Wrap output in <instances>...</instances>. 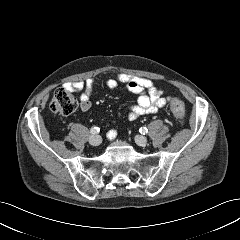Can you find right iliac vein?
<instances>
[{"mask_svg":"<svg viewBox=\"0 0 240 240\" xmlns=\"http://www.w3.org/2000/svg\"><path fill=\"white\" fill-rule=\"evenodd\" d=\"M102 142V138L99 135H92L89 137V143L92 146H99Z\"/></svg>","mask_w":240,"mask_h":240,"instance_id":"63e3f726","label":"right iliac vein"}]
</instances>
